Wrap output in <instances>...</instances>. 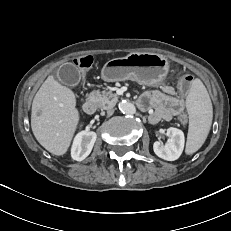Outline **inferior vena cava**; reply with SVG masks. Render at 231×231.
<instances>
[{
	"instance_id": "1",
	"label": "inferior vena cava",
	"mask_w": 231,
	"mask_h": 231,
	"mask_svg": "<svg viewBox=\"0 0 231 231\" xmlns=\"http://www.w3.org/2000/svg\"><path fill=\"white\" fill-rule=\"evenodd\" d=\"M114 113V110L113 109H108V111H107V114L109 115V116H111L112 114Z\"/></svg>"
}]
</instances>
